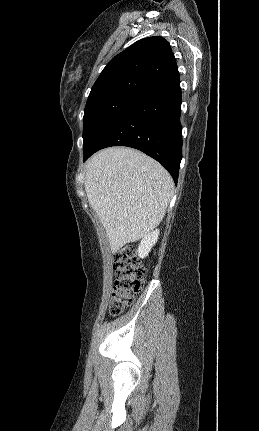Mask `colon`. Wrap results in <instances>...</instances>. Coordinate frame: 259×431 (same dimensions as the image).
I'll use <instances>...</instances> for the list:
<instances>
[{"mask_svg": "<svg viewBox=\"0 0 259 431\" xmlns=\"http://www.w3.org/2000/svg\"><path fill=\"white\" fill-rule=\"evenodd\" d=\"M115 281L109 311L119 315L133 303L135 295L144 286L146 269L139 261L135 248L126 245L114 255Z\"/></svg>", "mask_w": 259, "mask_h": 431, "instance_id": "5ec220e1", "label": "colon"}]
</instances>
